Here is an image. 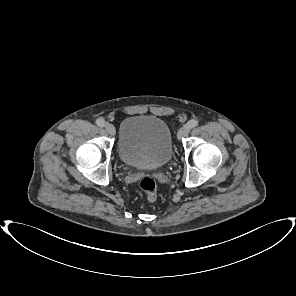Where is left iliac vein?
I'll use <instances>...</instances> for the list:
<instances>
[{"label": "left iliac vein", "mask_w": 296, "mask_h": 296, "mask_svg": "<svg viewBox=\"0 0 296 296\" xmlns=\"http://www.w3.org/2000/svg\"><path fill=\"white\" fill-rule=\"evenodd\" d=\"M190 132V127L188 125H184L180 130L178 131L177 137L178 139H182L186 137Z\"/></svg>", "instance_id": "1"}]
</instances>
